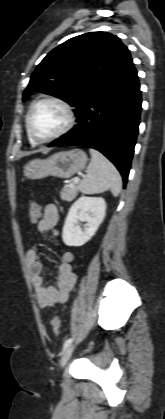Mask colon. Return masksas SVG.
<instances>
[{
	"label": "colon",
	"instance_id": "colon-1",
	"mask_svg": "<svg viewBox=\"0 0 165 419\" xmlns=\"http://www.w3.org/2000/svg\"><path fill=\"white\" fill-rule=\"evenodd\" d=\"M29 216L32 222H37L41 216V208L37 203H31L29 205ZM52 331L55 335L60 333V320L58 317H54L51 323Z\"/></svg>",
	"mask_w": 165,
	"mask_h": 419
}]
</instances>
